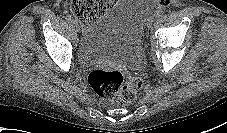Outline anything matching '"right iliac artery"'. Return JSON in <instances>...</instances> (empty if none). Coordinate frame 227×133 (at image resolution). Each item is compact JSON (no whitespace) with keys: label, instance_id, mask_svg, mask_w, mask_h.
Instances as JSON below:
<instances>
[{"label":"right iliac artery","instance_id":"obj_1","mask_svg":"<svg viewBox=\"0 0 227 133\" xmlns=\"http://www.w3.org/2000/svg\"><path fill=\"white\" fill-rule=\"evenodd\" d=\"M66 20L68 21V22H73V17L71 16V15H67L66 16Z\"/></svg>","mask_w":227,"mask_h":133}]
</instances>
